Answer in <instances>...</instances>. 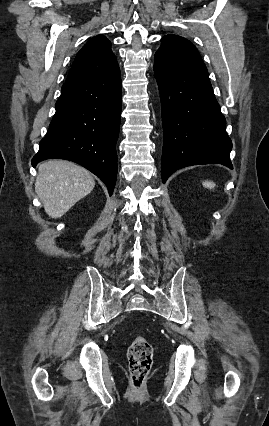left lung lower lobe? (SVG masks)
Listing matches in <instances>:
<instances>
[{"label": "left lung lower lobe", "mask_w": 269, "mask_h": 426, "mask_svg": "<svg viewBox=\"0 0 269 426\" xmlns=\"http://www.w3.org/2000/svg\"><path fill=\"white\" fill-rule=\"evenodd\" d=\"M154 72L162 102V182L191 165L232 169L226 121L196 47L185 38L163 37Z\"/></svg>", "instance_id": "obj_1"}]
</instances>
